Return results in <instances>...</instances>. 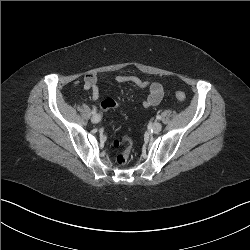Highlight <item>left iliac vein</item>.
I'll list each match as a JSON object with an SVG mask.
<instances>
[{"label": "left iliac vein", "mask_w": 250, "mask_h": 250, "mask_svg": "<svg viewBox=\"0 0 250 250\" xmlns=\"http://www.w3.org/2000/svg\"><path fill=\"white\" fill-rule=\"evenodd\" d=\"M151 129L154 133H158L161 131L162 129V125L161 123L159 122H154L152 125H151Z\"/></svg>", "instance_id": "1"}]
</instances>
